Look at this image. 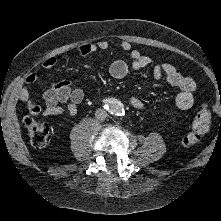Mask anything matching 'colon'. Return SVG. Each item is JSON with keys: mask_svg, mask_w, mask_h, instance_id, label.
<instances>
[{"mask_svg": "<svg viewBox=\"0 0 221 221\" xmlns=\"http://www.w3.org/2000/svg\"><path fill=\"white\" fill-rule=\"evenodd\" d=\"M211 121V113L207 101H203L197 114L194 116L191 131L184 137L183 144L187 147L197 144L208 131ZM31 144L35 148H43L47 145L50 128L49 126L32 115H28L23 120Z\"/></svg>", "mask_w": 221, "mask_h": 221, "instance_id": "colon-1", "label": "colon"}]
</instances>
